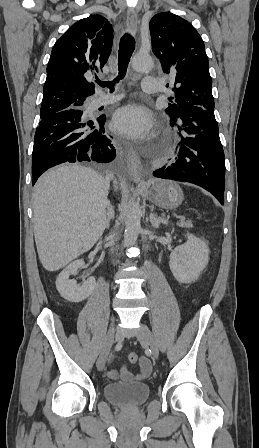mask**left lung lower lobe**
<instances>
[{
    "label": "left lung lower lobe",
    "instance_id": "0a47b994",
    "mask_svg": "<svg viewBox=\"0 0 259 448\" xmlns=\"http://www.w3.org/2000/svg\"><path fill=\"white\" fill-rule=\"evenodd\" d=\"M171 125L184 132L175 162L153 172L155 177L190 182L224 203L225 159L214 110L192 106L182 110Z\"/></svg>",
    "mask_w": 259,
    "mask_h": 448
}]
</instances>
